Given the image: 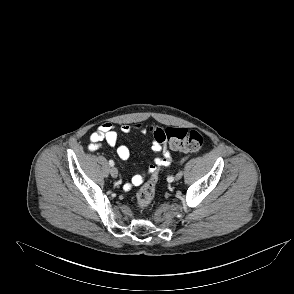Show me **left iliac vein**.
<instances>
[{"label": "left iliac vein", "instance_id": "left-iliac-vein-1", "mask_svg": "<svg viewBox=\"0 0 294 294\" xmlns=\"http://www.w3.org/2000/svg\"><path fill=\"white\" fill-rule=\"evenodd\" d=\"M181 178H182V172L180 171L175 175V177H173V180H179Z\"/></svg>", "mask_w": 294, "mask_h": 294}]
</instances>
